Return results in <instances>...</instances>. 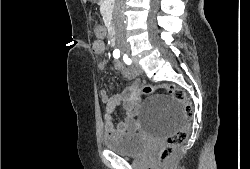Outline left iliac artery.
Here are the masks:
<instances>
[{"instance_id":"left-iliac-artery-1","label":"left iliac artery","mask_w":250,"mask_h":169,"mask_svg":"<svg viewBox=\"0 0 250 169\" xmlns=\"http://www.w3.org/2000/svg\"><path fill=\"white\" fill-rule=\"evenodd\" d=\"M123 60H124V62L127 64V65H130L131 64V59L130 58H128V56L125 54L124 56H123Z\"/></svg>"}]
</instances>
